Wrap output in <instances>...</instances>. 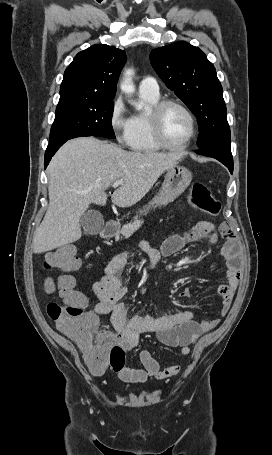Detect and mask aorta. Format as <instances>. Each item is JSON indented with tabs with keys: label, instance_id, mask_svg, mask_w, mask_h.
<instances>
[{
	"label": "aorta",
	"instance_id": "aorta-1",
	"mask_svg": "<svg viewBox=\"0 0 272 455\" xmlns=\"http://www.w3.org/2000/svg\"><path fill=\"white\" fill-rule=\"evenodd\" d=\"M133 75H134V70L133 69L125 70L124 78H123V81L121 83V90L124 93L128 94V95H131L132 93L135 92V86H134L133 81H132ZM136 107L138 109L141 108L140 105H136Z\"/></svg>",
	"mask_w": 272,
	"mask_h": 455
}]
</instances>
